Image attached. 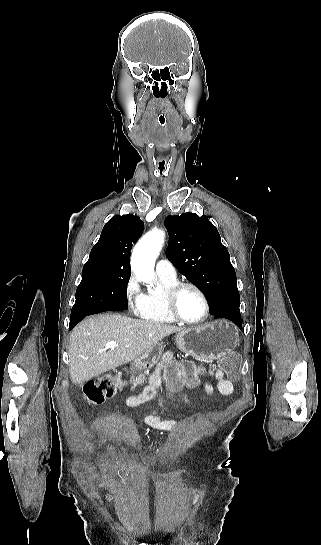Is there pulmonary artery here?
<instances>
[{
	"mask_svg": "<svg viewBox=\"0 0 321 545\" xmlns=\"http://www.w3.org/2000/svg\"><path fill=\"white\" fill-rule=\"evenodd\" d=\"M156 271L160 276L170 279L177 278V272L174 265L165 256L157 262Z\"/></svg>",
	"mask_w": 321,
	"mask_h": 545,
	"instance_id": "obj_1",
	"label": "pulmonary artery"
}]
</instances>
